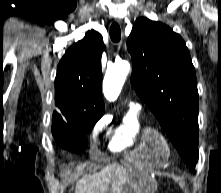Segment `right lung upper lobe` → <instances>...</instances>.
<instances>
[{
	"label": "right lung upper lobe",
	"mask_w": 221,
	"mask_h": 193,
	"mask_svg": "<svg viewBox=\"0 0 221 193\" xmlns=\"http://www.w3.org/2000/svg\"><path fill=\"white\" fill-rule=\"evenodd\" d=\"M105 45L100 33L91 30L72 45L57 68L53 118L64 120L103 115L101 56Z\"/></svg>",
	"instance_id": "right-lung-upper-lobe-1"
}]
</instances>
